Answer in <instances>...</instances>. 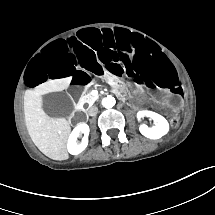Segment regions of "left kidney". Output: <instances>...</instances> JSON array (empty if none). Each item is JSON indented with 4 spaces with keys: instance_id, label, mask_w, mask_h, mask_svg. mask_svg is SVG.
<instances>
[{
    "instance_id": "left-kidney-1",
    "label": "left kidney",
    "mask_w": 215,
    "mask_h": 215,
    "mask_svg": "<svg viewBox=\"0 0 215 215\" xmlns=\"http://www.w3.org/2000/svg\"><path fill=\"white\" fill-rule=\"evenodd\" d=\"M145 116L152 118L155 122V125L151 128L148 127L146 124L140 125L139 131L142 135L150 139H159L168 133L169 123L162 115L148 110H142L137 112L138 120Z\"/></svg>"
}]
</instances>
